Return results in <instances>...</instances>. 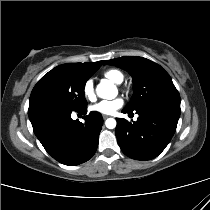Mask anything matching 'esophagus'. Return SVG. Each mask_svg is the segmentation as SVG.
Masks as SVG:
<instances>
[{"instance_id":"obj_1","label":"esophagus","mask_w":210,"mask_h":210,"mask_svg":"<svg viewBox=\"0 0 210 210\" xmlns=\"http://www.w3.org/2000/svg\"><path fill=\"white\" fill-rule=\"evenodd\" d=\"M102 117H103V119L105 120V119H107L109 116H108V115H103Z\"/></svg>"}]
</instances>
